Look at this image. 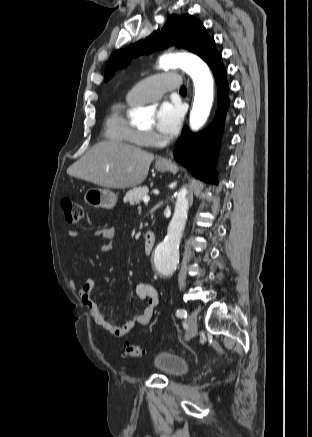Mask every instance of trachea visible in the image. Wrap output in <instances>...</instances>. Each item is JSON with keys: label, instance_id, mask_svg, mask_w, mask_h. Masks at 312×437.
<instances>
[{"label": "trachea", "instance_id": "trachea-1", "mask_svg": "<svg viewBox=\"0 0 312 437\" xmlns=\"http://www.w3.org/2000/svg\"><path fill=\"white\" fill-rule=\"evenodd\" d=\"M180 93H187V89L184 85L180 88Z\"/></svg>", "mask_w": 312, "mask_h": 437}]
</instances>
